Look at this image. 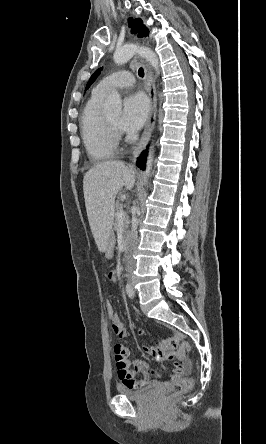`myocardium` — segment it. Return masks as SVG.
I'll return each instance as SVG.
<instances>
[{"label": "myocardium", "instance_id": "f54148a6", "mask_svg": "<svg viewBox=\"0 0 266 444\" xmlns=\"http://www.w3.org/2000/svg\"><path fill=\"white\" fill-rule=\"evenodd\" d=\"M105 129L107 135L115 144L121 140L122 133L120 128L112 124L107 117L105 118Z\"/></svg>", "mask_w": 266, "mask_h": 444}]
</instances>
